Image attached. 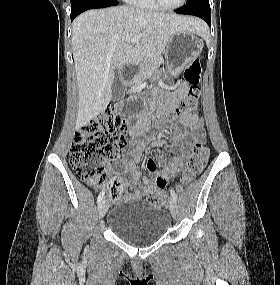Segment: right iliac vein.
Returning a JSON list of instances; mask_svg holds the SVG:
<instances>
[{
	"mask_svg": "<svg viewBox=\"0 0 280 285\" xmlns=\"http://www.w3.org/2000/svg\"><path fill=\"white\" fill-rule=\"evenodd\" d=\"M107 210H108V201L107 199H103L98 207V214L100 219L105 216Z\"/></svg>",
	"mask_w": 280,
	"mask_h": 285,
	"instance_id": "right-iliac-vein-1",
	"label": "right iliac vein"
}]
</instances>
